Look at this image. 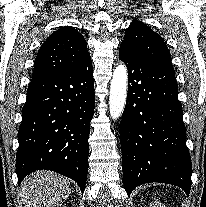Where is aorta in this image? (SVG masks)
<instances>
[{
    "mask_svg": "<svg viewBox=\"0 0 206 207\" xmlns=\"http://www.w3.org/2000/svg\"><path fill=\"white\" fill-rule=\"evenodd\" d=\"M127 69L120 63L113 71L110 83L109 109L112 119H118L123 113L127 96Z\"/></svg>",
    "mask_w": 206,
    "mask_h": 207,
    "instance_id": "762f6f07",
    "label": "aorta"
}]
</instances>
